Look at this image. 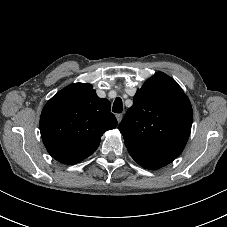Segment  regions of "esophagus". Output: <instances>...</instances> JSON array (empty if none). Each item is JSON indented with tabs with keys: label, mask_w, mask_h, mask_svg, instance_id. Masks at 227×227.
I'll use <instances>...</instances> for the list:
<instances>
[{
	"label": "esophagus",
	"mask_w": 227,
	"mask_h": 227,
	"mask_svg": "<svg viewBox=\"0 0 227 227\" xmlns=\"http://www.w3.org/2000/svg\"><path fill=\"white\" fill-rule=\"evenodd\" d=\"M122 118H123V114H116V119H117L118 123L121 122Z\"/></svg>",
	"instance_id": "34e87169"
}]
</instances>
